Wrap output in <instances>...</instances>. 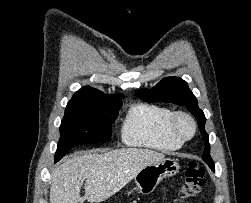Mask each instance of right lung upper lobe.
Wrapping results in <instances>:
<instances>
[{
	"mask_svg": "<svg viewBox=\"0 0 251 203\" xmlns=\"http://www.w3.org/2000/svg\"><path fill=\"white\" fill-rule=\"evenodd\" d=\"M123 96L117 95L114 97H109L105 93L94 89L92 87L86 86L77 91L72 99L69 101L68 105L75 104H93V103H119Z\"/></svg>",
	"mask_w": 251,
	"mask_h": 203,
	"instance_id": "cb5924a9",
	"label": "right lung upper lobe"
}]
</instances>
